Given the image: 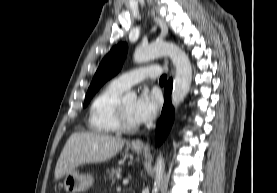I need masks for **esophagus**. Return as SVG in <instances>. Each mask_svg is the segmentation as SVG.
<instances>
[{"mask_svg": "<svg viewBox=\"0 0 277 193\" xmlns=\"http://www.w3.org/2000/svg\"><path fill=\"white\" fill-rule=\"evenodd\" d=\"M173 75H174V69L172 65H170V77H172ZM132 145L140 148L145 147L144 143L140 139L132 141Z\"/></svg>", "mask_w": 277, "mask_h": 193, "instance_id": "esophagus-1", "label": "esophagus"}]
</instances>
